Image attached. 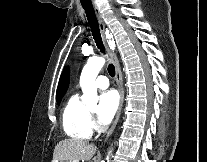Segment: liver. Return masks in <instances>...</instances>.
<instances>
[{
    "mask_svg": "<svg viewBox=\"0 0 207 162\" xmlns=\"http://www.w3.org/2000/svg\"><path fill=\"white\" fill-rule=\"evenodd\" d=\"M96 146L80 139H64L54 149L53 160L79 162L90 160L96 153Z\"/></svg>",
    "mask_w": 207,
    "mask_h": 162,
    "instance_id": "obj_1",
    "label": "liver"
}]
</instances>
